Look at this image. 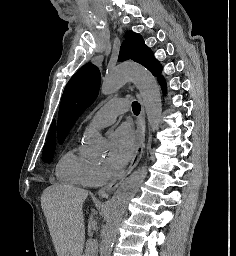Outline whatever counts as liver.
<instances>
[{"instance_id":"1","label":"liver","mask_w":236,"mask_h":256,"mask_svg":"<svg viewBox=\"0 0 236 256\" xmlns=\"http://www.w3.org/2000/svg\"><path fill=\"white\" fill-rule=\"evenodd\" d=\"M87 196V190L65 184H54L44 190L41 206L57 256H82L85 242L83 202Z\"/></svg>"}]
</instances>
